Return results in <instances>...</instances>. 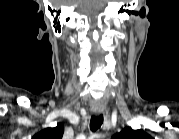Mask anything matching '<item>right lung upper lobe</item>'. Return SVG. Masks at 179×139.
<instances>
[{"label": "right lung upper lobe", "mask_w": 179, "mask_h": 139, "mask_svg": "<svg viewBox=\"0 0 179 139\" xmlns=\"http://www.w3.org/2000/svg\"><path fill=\"white\" fill-rule=\"evenodd\" d=\"M64 128L62 124H58L54 128H46L36 134L33 139H61L63 136Z\"/></svg>", "instance_id": "1"}]
</instances>
